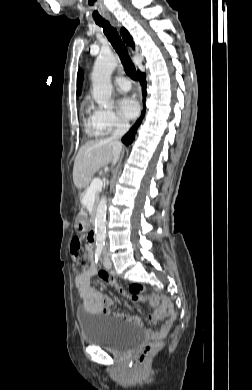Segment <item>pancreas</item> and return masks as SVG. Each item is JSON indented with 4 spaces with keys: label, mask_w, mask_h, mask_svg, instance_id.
Here are the masks:
<instances>
[{
    "label": "pancreas",
    "mask_w": 252,
    "mask_h": 390,
    "mask_svg": "<svg viewBox=\"0 0 252 390\" xmlns=\"http://www.w3.org/2000/svg\"><path fill=\"white\" fill-rule=\"evenodd\" d=\"M84 197H85V195L83 194L82 198L84 199ZM98 198H99V195L97 194V195H96V200H98ZM79 205H80V206H83V205H84V202H83V201H80V202H79Z\"/></svg>",
    "instance_id": "obj_1"
}]
</instances>
